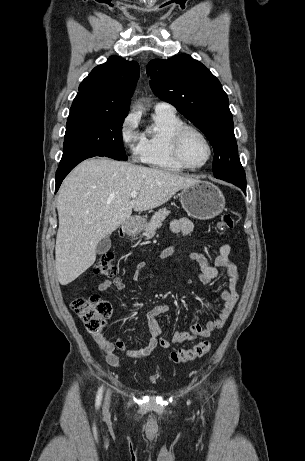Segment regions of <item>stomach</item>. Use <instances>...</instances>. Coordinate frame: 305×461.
I'll return each mask as SVG.
<instances>
[{
	"instance_id": "0dacf381",
	"label": "stomach",
	"mask_w": 305,
	"mask_h": 461,
	"mask_svg": "<svg viewBox=\"0 0 305 461\" xmlns=\"http://www.w3.org/2000/svg\"><path fill=\"white\" fill-rule=\"evenodd\" d=\"M182 208L193 218L207 220L219 215L225 207V198L221 190L207 181H198L180 192ZM144 219L136 220L133 224H125L124 232L134 236L144 230Z\"/></svg>"
}]
</instances>
